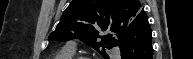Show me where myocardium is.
Returning <instances> with one entry per match:
<instances>
[{"mask_svg":"<svg viewBox=\"0 0 193 59\" xmlns=\"http://www.w3.org/2000/svg\"><path fill=\"white\" fill-rule=\"evenodd\" d=\"M72 59H92V58H89V57H86V56H79V57L72 58Z\"/></svg>","mask_w":193,"mask_h":59,"instance_id":"1","label":"myocardium"}]
</instances>
